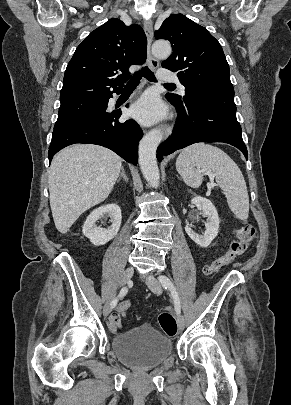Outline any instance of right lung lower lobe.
Wrapping results in <instances>:
<instances>
[{"label":"right lung lower lobe","mask_w":291,"mask_h":405,"mask_svg":"<svg viewBox=\"0 0 291 405\" xmlns=\"http://www.w3.org/2000/svg\"><path fill=\"white\" fill-rule=\"evenodd\" d=\"M120 116L121 111H104L54 129L48 151L49 162L68 145L88 143L107 147L136 166L138 142L143 132L132 119L120 123Z\"/></svg>","instance_id":"98d812e1"}]
</instances>
